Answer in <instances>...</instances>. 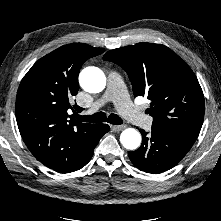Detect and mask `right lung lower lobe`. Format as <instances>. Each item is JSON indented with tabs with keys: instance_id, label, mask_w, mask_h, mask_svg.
Returning <instances> with one entry per match:
<instances>
[{
	"instance_id": "obj_1",
	"label": "right lung lower lobe",
	"mask_w": 221,
	"mask_h": 221,
	"mask_svg": "<svg viewBox=\"0 0 221 221\" xmlns=\"http://www.w3.org/2000/svg\"><path fill=\"white\" fill-rule=\"evenodd\" d=\"M108 131H109V126L107 124H99L94 138L89 142H87L86 144H84L80 149L79 157H77L74 161L68 162L65 166L56 168L54 170L60 173H70L84 167L91 159L94 153V148L98 144L99 140Z\"/></svg>"
}]
</instances>
